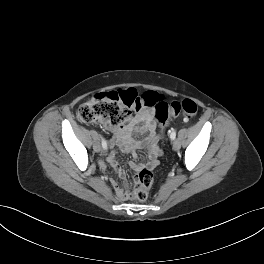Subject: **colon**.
Segmentation results:
<instances>
[{"mask_svg":"<svg viewBox=\"0 0 264 264\" xmlns=\"http://www.w3.org/2000/svg\"><path fill=\"white\" fill-rule=\"evenodd\" d=\"M144 108L154 109L161 130L167 126L171 116L181 115L185 119H191L198 112L197 104L191 99L167 103L157 92L139 93L135 89L128 88L98 93L77 109L76 117L82 123L101 124L109 129H115L124 121L129 111H140ZM152 184V171L143 168L134 178L131 197L141 202L145 201Z\"/></svg>","mask_w":264,"mask_h":264,"instance_id":"obj_1","label":"colon"}]
</instances>
